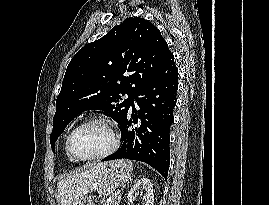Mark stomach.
<instances>
[{"label":"stomach","mask_w":269,"mask_h":205,"mask_svg":"<svg viewBox=\"0 0 269 205\" xmlns=\"http://www.w3.org/2000/svg\"><path fill=\"white\" fill-rule=\"evenodd\" d=\"M133 165L129 160L109 162L98 185L101 196L113 195L114 191L124 185L131 177ZM71 205H95L92 198L84 196L74 200Z\"/></svg>","instance_id":"obj_1"}]
</instances>
